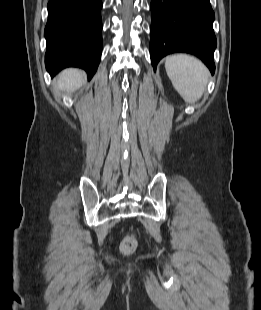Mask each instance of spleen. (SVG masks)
<instances>
[{"label": "spleen", "mask_w": 261, "mask_h": 310, "mask_svg": "<svg viewBox=\"0 0 261 310\" xmlns=\"http://www.w3.org/2000/svg\"><path fill=\"white\" fill-rule=\"evenodd\" d=\"M165 69L174 88L189 104L201 98L209 79V70L197 58L186 54L170 55Z\"/></svg>", "instance_id": "1"}]
</instances>
